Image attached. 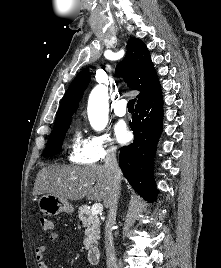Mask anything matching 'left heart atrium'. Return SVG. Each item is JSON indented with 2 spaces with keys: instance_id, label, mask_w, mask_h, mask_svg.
Here are the masks:
<instances>
[{
  "instance_id": "1",
  "label": "left heart atrium",
  "mask_w": 221,
  "mask_h": 268,
  "mask_svg": "<svg viewBox=\"0 0 221 268\" xmlns=\"http://www.w3.org/2000/svg\"><path fill=\"white\" fill-rule=\"evenodd\" d=\"M114 131L118 142L126 143L130 139V132L124 122H118Z\"/></svg>"
}]
</instances>
